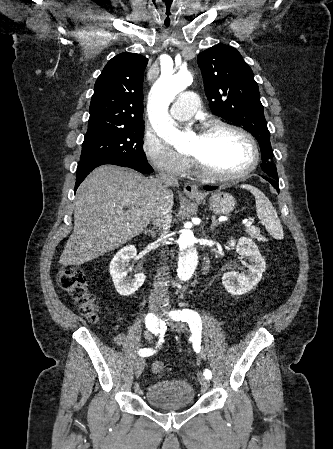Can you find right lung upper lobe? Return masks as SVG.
<instances>
[{
	"label": "right lung upper lobe",
	"mask_w": 333,
	"mask_h": 449,
	"mask_svg": "<svg viewBox=\"0 0 333 449\" xmlns=\"http://www.w3.org/2000/svg\"><path fill=\"white\" fill-rule=\"evenodd\" d=\"M148 59L137 53L112 58L98 77L88 128L143 123V78Z\"/></svg>",
	"instance_id": "obj_1"
}]
</instances>
